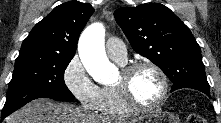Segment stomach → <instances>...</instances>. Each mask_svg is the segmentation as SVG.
Segmentation results:
<instances>
[{"mask_svg":"<svg viewBox=\"0 0 221 123\" xmlns=\"http://www.w3.org/2000/svg\"><path fill=\"white\" fill-rule=\"evenodd\" d=\"M136 123H179V120L170 112L155 110L139 117Z\"/></svg>","mask_w":221,"mask_h":123,"instance_id":"obj_1","label":"stomach"}]
</instances>
